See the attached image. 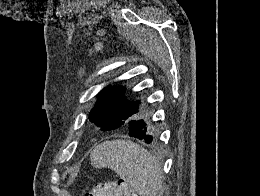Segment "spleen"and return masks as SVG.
Here are the masks:
<instances>
[{
    "label": "spleen",
    "instance_id": "1",
    "mask_svg": "<svg viewBox=\"0 0 260 196\" xmlns=\"http://www.w3.org/2000/svg\"><path fill=\"white\" fill-rule=\"evenodd\" d=\"M93 168H109L138 196H156L162 188V168L143 146L131 140L102 142L90 156Z\"/></svg>",
    "mask_w": 260,
    "mask_h": 196
}]
</instances>
